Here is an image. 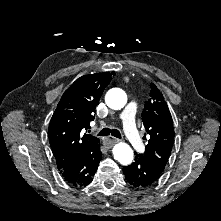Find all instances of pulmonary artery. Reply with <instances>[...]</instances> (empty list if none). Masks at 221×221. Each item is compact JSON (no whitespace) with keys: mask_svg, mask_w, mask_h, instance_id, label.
Listing matches in <instances>:
<instances>
[{"mask_svg":"<svg viewBox=\"0 0 221 221\" xmlns=\"http://www.w3.org/2000/svg\"><path fill=\"white\" fill-rule=\"evenodd\" d=\"M135 111L136 103L131 101L121 112L120 119L123 122L124 132L129 142L134 148L143 151L144 146L136 128Z\"/></svg>","mask_w":221,"mask_h":221,"instance_id":"obj_1","label":"pulmonary artery"}]
</instances>
